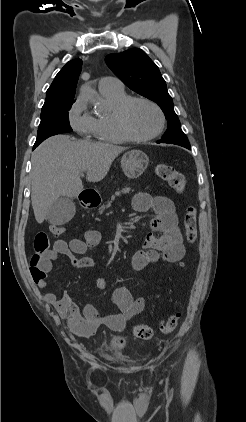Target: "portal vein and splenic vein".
<instances>
[{"mask_svg":"<svg viewBox=\"0 0 246 422\" xmlns=\"http://www.w3.org/2000/svg\"><path fill=\"white\" fill-rule=\"evenodd\" d=\"M83 172H84V171H82V172H81V175H84V174H83Z\"/></svg>","mask_w":246,"mask_h":422,"instance_id":"obj_1","label":"portal vein and splenic vein"}]
</instances>
